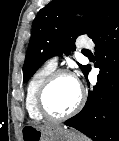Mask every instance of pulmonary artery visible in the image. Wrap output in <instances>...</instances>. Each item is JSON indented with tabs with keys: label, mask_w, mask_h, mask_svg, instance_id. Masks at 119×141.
Wrapping results in <instances>:
<instances>
[{
	"label": "pulmonary artery",
	"mask_w": 119,
	"mask_h": 141,
	"mask_svg": "<svg viewBox=\"0 0 119 141\" xmlns=\"http://www.w3.org/2000/svg\"><path fill=\"white\" fill-rule=\"evenodd\" d=\"M92 46V42L91 41H83L81 43H77V48L79 49H83V48H89ZM58 63V58L57 57H52L48 60L47 64L56 67Z\"/></svg>",
	"instance_id": "1"
}]
</instances>
